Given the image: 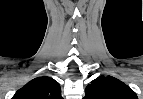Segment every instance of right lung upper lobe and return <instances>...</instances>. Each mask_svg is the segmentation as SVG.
Returning a JSON list of instances; mask_svg holds the SVG:
<instances>
[{"label":"right lung upper lobe","mask_w":143,"mask_h":99,"mask_svg":"<svg viewBox=\"0 0 143 99\" xmlns=\"http://www.w3.org/2000/svg\"><path fill=\"white\" fill-rule=\"evenodd\" d=\"M12 99H62L61 88L53 78L37 77L19 89Z\"/></svg>","instance_id":"cb5924a9"}]
</instances>
